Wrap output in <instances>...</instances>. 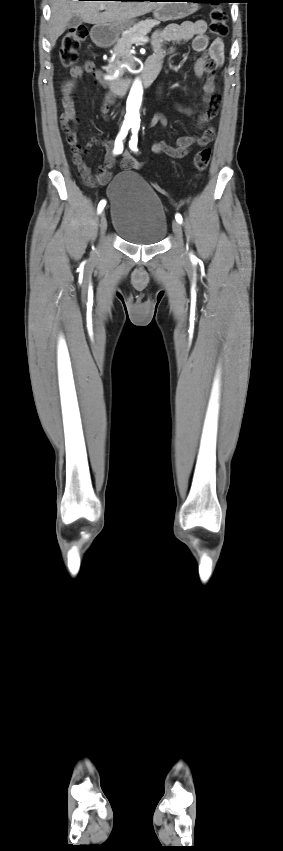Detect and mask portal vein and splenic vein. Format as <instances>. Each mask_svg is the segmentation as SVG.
<instances>
[{"mask_svg":"<svg viewBox=\"0 0 283 851\" xmlns=\"http://www.w3.org/2000/svg\"><path fill=\"white\" fill-rule=\"evenodd\" d=\"M103 9H104V7L102 6V7H101V10H103ZM137 41H141V42L147 43V42L149 41V38H148V37H143V38H139V39H137Z\"/></svg>","mask_w":283,"mask_h":851,"instance_id":"obj_1","label":"portal vein and splenic vein"}]
</instances>
